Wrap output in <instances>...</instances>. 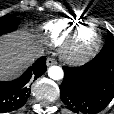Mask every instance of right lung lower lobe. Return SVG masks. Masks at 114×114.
I'll use <instances>...</instances> for the list:
<instances>
[{
    "instance_id": "1",
    "label": "right lung lower lobe",
    "mask_w": 114,
    "mask_h": 114,
    "mask_svg": "<svg viewBox=\"0 0 114 114\" xmlns=\"http://www.w3.org/2000/svg\"><path fill=\"white\" fill-rule=\"evenodd\" d=\"M46 70V58L41 57L18 79L0 82V113L21 108L29 97L30 83L44 74Z\"/></svg>"
}]
</instances>
